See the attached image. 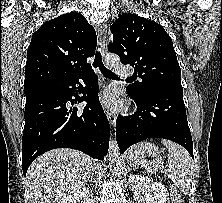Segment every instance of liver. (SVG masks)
<instances>
[{
  "mask_svg": "<svg viewBox=\"0 0 222 203\" xmlns=\"http://www.w3.org/2000/svg\"><path fill=\"white\" fill-rule=\"evenodd\" d=\"M92 170V159L77 150L59 148L42 154L27 171L31 203H63L84 188Z\"/></svg>",
  "mask_w": 222,
  "mask_h": 203,
  "instance_id": "6515ba94",
  "label": "liver"
}]
</instances>
